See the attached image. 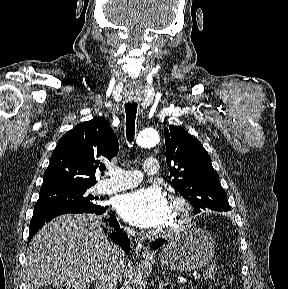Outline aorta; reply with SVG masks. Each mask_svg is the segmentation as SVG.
Masks as SVG:
<instances>
[{"label":"aorta","mask_w":288,"mask_h":289,"mask_svg":"<svg viewBox=\"0 0 288 289\" xmlns=\"http://www.w3.org/2000/svg\"><path fill=\"white\" fill-rule=\"evenodd\" d=\"M159 143L158 132L152 128H148L139 133L137 144L141 147L150 148Z\"/></svg>","instance_id":"762f6f07"}]
</instances>
